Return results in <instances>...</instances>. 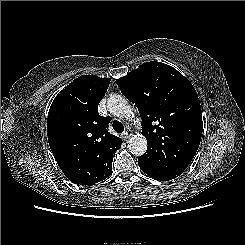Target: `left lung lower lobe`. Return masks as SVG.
I'll return each mask as SVG.
<instances>
[{"instance_id": "left-lung-lower-lobe-1", "label": "left lung lower lobe", "mask_w": 245, "mask_h": 245, "mask_svg": "<svg viewBox=\"0 0 245 245\" xmlns=\"http://www.w3.org/2000/svg\"><path fill=\"white\" fill-rule=\"evenodd\" d=\"M140 168L142 169V171L144 173H146L148 176L156 179V180H160V181H168L171 179H174L177 177V175L174 174H169V173H164L160 170L154 169V168H150L148 166H145L141 163H138Z\"/></svg>"}]
</instances>
